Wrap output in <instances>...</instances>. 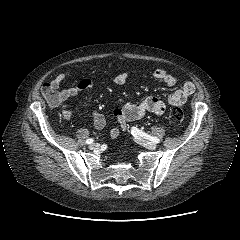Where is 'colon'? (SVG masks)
<instances>
[{"instance_id": "1", "label": "colon", "mask_w": 240, "mask_h": 240, "mask_svg": "<svg viewBox=\"0 0 240 240\" xmlns=\"http://www.w3.org/2000/svg\"><path fill=\"white\" fill-rule=\"evenodd\" d=\"M43 94L51 105L55 106L58 104V100L55 93L47 83L43 85ZM184 119H185V114L183 110L180 108H174L168 114V121L172 125H180L184 121Z\"/></svg>"}]
</instances>
